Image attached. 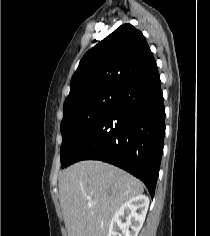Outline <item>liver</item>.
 Masks as SVG:
<instances>
[{
  "instance_id": "6515ba94",
  "label": "liver",
  "mask_w": 210,
  "mask_h": 236,
  "mask_svg": "<svg viewBox=\"0 0 210 236\" xmlns=\"http://www.w3.org/2000/svg\"><path fill=\"white\" fill-rule=\"evenodd\" d=\"M144 191L141 181L102 161H80L59 177V196L68 236H107L111 220Z\"/></svg>"
}]
</instances>
